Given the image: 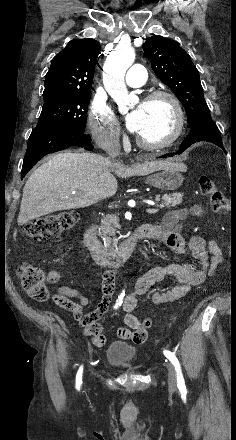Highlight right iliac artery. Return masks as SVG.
I'll return each instance as SVG.
<instances>
[{
  "mask_svg": "<svg viewBox=\"0 0 236 440\" xmlns=\"http://www.w3.org/2000/svg\"><path fill=\"white\" fill-rule=\"evenodd\" d=\"M124 296H125V291L123 290V292L118 296V300L114 306L115 309H117L119 306L122 305ZM82 373H83V367L81 366L77 372V375H76V389L77 390H80V387L82 385Z\"/></svg>",
  "mask_w": 236,
  "mask_h": 440,
  "instance_id": "1",
  "label": "right iliac artery"
}]
</instances>
